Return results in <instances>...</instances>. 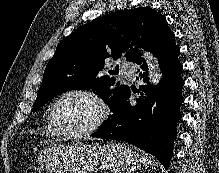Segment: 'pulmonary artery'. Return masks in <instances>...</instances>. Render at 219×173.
<instances>
[{
  "label": "pulmonary artery",
  "instance_id": "obj_1",
  "mask_svg": "<svg viewBox=\"0 0 219 173\" xmlns=\"http://www.w3.org/2000/svg\"><path fill=\"white\" fill-rule=\"evenodd\" d=\"M134 71V67L130 63H123L121 65V73L126 79H132L134 77Z\"/></svg>",
  "mask_w": 219,
  "mask_h": 173
}]
</instances>
